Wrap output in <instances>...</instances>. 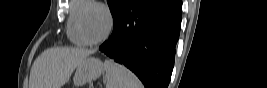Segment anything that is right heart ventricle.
Masks as SVG:
<instances>
[{"label": "right heart ventricle", "mask_w": 267, "mask_h": 88, "mask_svg": "<svg viewBox=\"0 0 267 88\" xmlns=\"http://www.w3.org/2000/svg\"><path fill=\"white\" fill-rule=\"evenodd\" d=\"M93 1L89 0H72L70 1L69 16L67 21L66 33L69 40L77 46L87 45L79 34L78 19L80 14L91 6Z\"/></svg>", "instance_id": "e07e8e85"}]
</instances>
